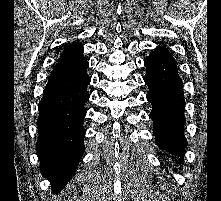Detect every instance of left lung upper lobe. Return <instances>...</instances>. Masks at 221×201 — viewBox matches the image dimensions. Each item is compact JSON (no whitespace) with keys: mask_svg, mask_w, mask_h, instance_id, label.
Here are the masks:
<instances>
[{"mask_svg":"<svg viewBox=\"0 0 221 201\" xmlns=\"http://www.w3.org/2000/svg\"><path fill=\"white\" fill-rule=\"evenodd\" d=\"M151 54H156L158 56L170 59V60H174V58L172 57V55L169 53L168 49L166 48H162L160 46H158L154 52H152Z\"/></svg>","mask_w":221,"mask_h":201,"instance_id":"5c2ea615","label":"left lung upper lobe"}]
</instances>
